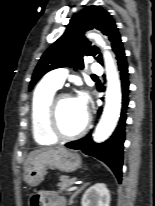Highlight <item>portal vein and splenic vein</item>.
<instances>
[{
    "label": "portal vein and splenic vein",
    "mask_w": 155,
    "mask_h": 206,
    "mask_svg": "<svg viewBox=\"0 0 155 206\" xmlns=\"http://www.w3.org/2000/svg\"><path fill=\"white\" fill-rule=\"evenodd\" d=\"M75 189H77V186H74V187L68 189V191H73V190H75Z\"/></svg>",
    "instance_id": "1"
}]
</instances>
